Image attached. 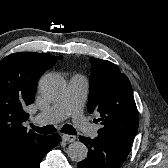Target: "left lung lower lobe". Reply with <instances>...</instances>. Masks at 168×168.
Returning a JSON list of instances; mask_svg holds the SVG:
<instances>
[{
  "label": "left lung lower lobe",
  "instance_id": "0a47b994",
  "mask_svg": "<svg viewBox=\"0 0 168 168\" xmlns=\"http://www.w3.org/2000/svg\"><path fill=\"white\" fill-rule=\"evenodd\" d=\"M88 149V157L79 162L78 168H120L125 162L130 147L112 138L98 134L94 139L80 136Z\"/></svg>",
  "mask_w": 168,
  "mask_h": 168
}]
</instances>
